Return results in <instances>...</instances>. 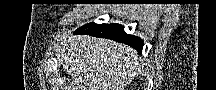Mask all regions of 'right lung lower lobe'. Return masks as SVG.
<instances>
[{
	"label": "right lung lower lobe",
	"instance_id": "obj_1",
	"mask_svg": "<svg viewBox=\"0 0 216 90\" xmlns=\"http://www.w3.org/2000/svg\"><path fill=\"white\" fill-rule=\"evenodd\" d=\"M75 34H86L90 36L112 39L127 44L139 53L142 52L143 42L139 37L126 34L124 27L119 24H96L83 25L75 31Z\"/></svg>",
	"mask_w": 216,
	"mask_h": 90
}]
</instances>
